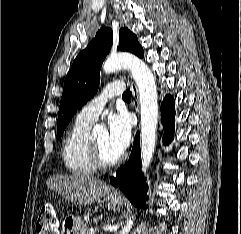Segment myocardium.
Instances as JSON below:
<instances>
[{"mask_svg":"<svg viewBox=\"0 0 241 234\" xmlns=\"http://www.w3.org/2000/svg\"><path fill=\"white\" fill-rule=\"evenodd\" d=\"M89 150H90V158L93 164L96 166L97 169L107 170L116 167L120 164L123 160V155L120 154L116 159L112 161L106 160L100 149L99 144L93 137L89 138Z\"/></svg>","mask_w":241,"mask_h":234,"instance_id":"obj_1","label":"myocardium"}]
</instances>
